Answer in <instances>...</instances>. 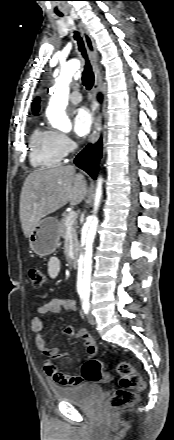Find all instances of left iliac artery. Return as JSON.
I'll return each instance as SVG.
<instances>
[{
  "instance_id": "1",
  "label": "left iliac artery",
  "mask_w": 174,
  "mask_h": 440,
  "mask_svg": "<svg viewBox=\"0 0 174 440\" xmlns=\"http://www.w3.org/2000/svg\"><path fill=\"white\" fill-rule=\"evenodd\" d=\"M89 292H80V298L82 302V308L85 312V314L89 311Z\"/></svg>"
}]
</instances>
